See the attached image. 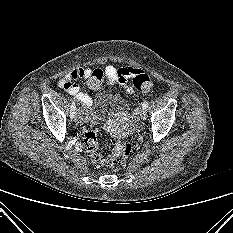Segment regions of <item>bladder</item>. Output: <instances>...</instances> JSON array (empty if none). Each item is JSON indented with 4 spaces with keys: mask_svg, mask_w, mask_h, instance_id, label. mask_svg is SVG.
Returning <instances> with one entry per match:
<instances>
[{
    "mask_svg": "<svg viewBox=\"0 0 233 233\" xmlns=\"http://www.w3.org/2000/svg\"><path fill=\"white\" fill-rule=\"evenodd\" d=\"M128 103L120 96L100 93L93 100L89 116L96 123L107 122L114 116L128 110Z\"/></svg>",
    "mask_w": 233,
    "mask_h": 233,
    "instance_id": "31cf9c89",
    "label": "bladder"
}]
</instances>
